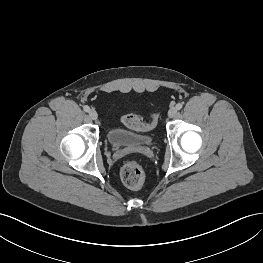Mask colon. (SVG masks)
Listing matches in <instances>:
<instances>
[{
    "instance_id": "1",
    "label": "colon",
    "mask_w": 263,
    "mask_h": 263,
    "mask_svg": "<svg viewBox=\"0 0 263 263\" xmlns=\"http://www.w3.org/2000/svg\"><path fill=\"white\" fill-rule=\"evenodd\" d=\"M158 119V113L152 116L150 123H145L136 114H127L123 117L124 123L137 131H148L154 128ZM120 177L122 182L129 188L137 189L144 182V169L142 164L136 159L127 160L120 169Z\"/></svg>"
}]
</instances>
